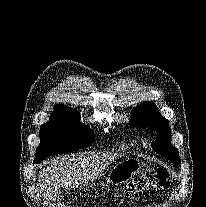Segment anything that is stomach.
Segmentation results:
<instances>
[{"mask_svg":"<svg viewBox=\"0 0 206 207\" xmlns=\"http://www.w3.org/2000/svg\"><path fill=\"white\" fill-rule=\"evenodd\" d=\"M142 165V162L138 159H124L112 167L107 175L106 181L111 185H119L127 182L141 171Z\"/></svg>","mask_w":206,"mask_h":207,"instance_id":"1","label":"stomach"}]
</instances>
